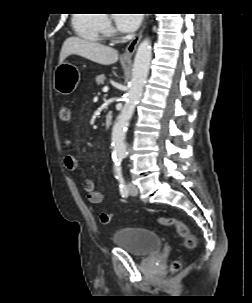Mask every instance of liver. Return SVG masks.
<instances>
[{"label":"liver","mask_w":252,"mask_h":303,"mask_svg":"<svg viewBox=\"0 0 252 303\" xmlns=\"http://www.w3.org/2000/svg\"><path fill=\"white\" fill-rule=\"evenodd\" d=\"M72 54L102 65H111L118 60L117 50L80 37H69L64 41L60 52L59 64L63 63Z\"/></svg>","instance_id":"obj_1"}]
</instances>
